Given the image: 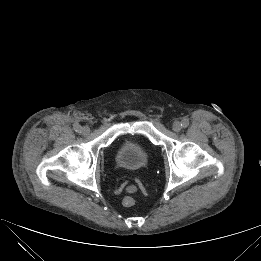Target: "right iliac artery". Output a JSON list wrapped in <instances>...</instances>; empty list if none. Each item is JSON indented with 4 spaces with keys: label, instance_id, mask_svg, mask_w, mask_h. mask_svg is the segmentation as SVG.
Instances as JSON below:
<instances>
[{
    "label": "right iliac artery",
    "instance_id": "1",
    "mask_svg": "<svg viewBox=\"0 0 261 261\" xmlns=\"http://www.w3.org/2000/svg\"><path fill=\"white\" fill-rule=\"evenodd\" d=\"M74 130L76 131V132H81V126L80 125H75L74 126Z\"/></svg>",
    "mask_w": 261,
    "mask_h": 261
}]
</instances>
